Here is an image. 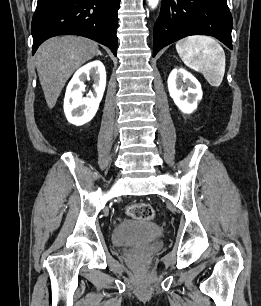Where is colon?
<instances>
[{"instance_id":"5ec220e1","label":"colon","mask_w":261,"mask_h":306,"mask_svg":"<svg viewBox=\"0 0 261 306\" xmlns=\"http://www.w3.org/2000/svg\"><path fill=\"white\" fill-rule=\"evenodd\" d=\"M126 213L134 219L151 221L154 219L155 211L148 203H135L126 208Z\"/></svg>"}]
</instances>
